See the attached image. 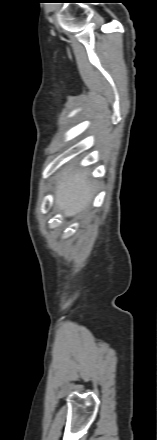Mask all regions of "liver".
<instances>
[{"label": "liver", "instance_id": "liver-1", "mask_svg": "<svg viewBox=\"0 0 157 440\" xmlns=\"http://www.w3.org/2000/svg\"><path fill=\"white\" fill-rule=\"evenodd\" d=\"M95 183L88 170L65 168L55 184V205L65 217H73L86 211L93 199Z\"/></svg>", "mask_w": 157, "mask_h": 440}]
</instances>
